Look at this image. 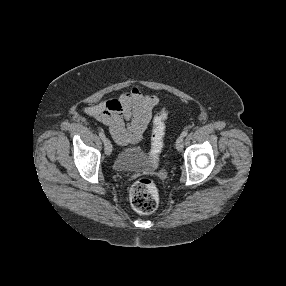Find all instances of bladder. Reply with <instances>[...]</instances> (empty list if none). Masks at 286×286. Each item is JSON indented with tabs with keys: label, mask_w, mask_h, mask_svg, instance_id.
Segmentation results:
<instances>
[{
	"label": "bladder",
	"mask_w": 286,
	"mask_h": 286,
	"mask_svg": "<svg viewBox=\"0 0 286 286\" xmlns=\"http://www.w3.org/2000/svg\"><path fill=\"white\" fill-rule=\"evenodd\" d=\"M146 166L145 150L141 145L121 149L113 160L116 172H132Z\"/></svg>",
	"instance_id": "1"
}]
</instances>
